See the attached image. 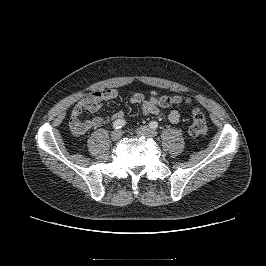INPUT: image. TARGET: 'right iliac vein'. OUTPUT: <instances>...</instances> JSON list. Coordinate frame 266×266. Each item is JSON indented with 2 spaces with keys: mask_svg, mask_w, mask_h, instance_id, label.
<instances>
[{
  "mask_svg": "<svg viewBox=\"0 0 266 266\" xmlns=\"http://www.w3.org/2000/svg\"><path fill=\"white\" fill-rule=\"evenodd\" d=\"M122 136V132L120 130H114L111 133V139L113 141H118Z\"/></svg>",
  "mask_w": 266,
  "mask_h": 266,
  "instance_id": "right-iliac-vein-1",
  "label": "right iliac vein"
}]
</instances>
